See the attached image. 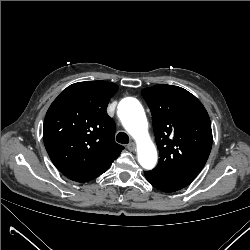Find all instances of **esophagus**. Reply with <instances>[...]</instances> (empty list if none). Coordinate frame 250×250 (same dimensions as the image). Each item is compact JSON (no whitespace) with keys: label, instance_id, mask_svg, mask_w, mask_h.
Wrapping results in <instances>:
<instances>
[{"label":"esophagus","instance_id":"34e87169","mask_svg":"<svg viewBox=\"0 0 250 250\" xmlns=\"http://www.w3.org/2000/svg\"><path fill=\"white\" fill-rule=\"evenodd\" d=\"M135 148H136V145H135L134 142H131V143H129V144L127 145V149H128L129 151H134Z\"/></svg>","mask_w":250,"mask_h":250}]
</instances>
